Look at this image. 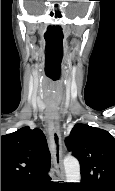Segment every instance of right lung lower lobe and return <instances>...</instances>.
Instances as JSON below:
<instances>
[{
  "label": "right lung lower lobe",
  "mask_w": 115,
  "mask_h": 191,
  "mask_svg": "<svg viewBox=\"0 0 115 191\" xmlns=\"http://www.w3.org/2000/svg\"><path fill=\"white\" fill-rule=\"evenodd\" d=\"M50 179L51 178L48 177L41 181H37L23 186L2 185L1 191H44L47 190V187L50 183Z\"/></svg>",
  "instance_id": "right-lung-lower-lobe-1"
}]
</instances>
